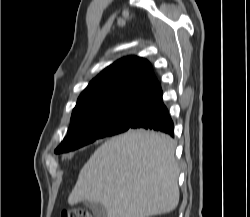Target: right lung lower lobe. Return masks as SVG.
<instances>
[{"instance_id": "1", "label": "right lung lower lobe", "mask_w": 250, "mask_h": 217, "mask_svg": "<svg viewBox=\"0 0 250 217\" xmlns=\"http://www.w3.org/2000/svg\"><path fill=\"white\" fill-rule=\"evenodd\" d=\"M130 128L161 131L174 137L173 121L163 103L162 90L150 95L140 104Z\"/></svg>"}]
</instances>
